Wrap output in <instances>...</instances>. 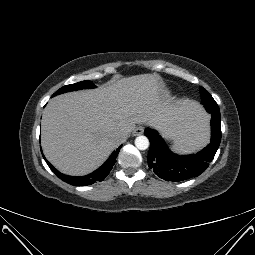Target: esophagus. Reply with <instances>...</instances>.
<instances>
[{"label":"esophagus","instance_id":"esophagus-1","mask_svg":"<svg viewBox=\"0 0 255 255\" xmlns=\"http://www.w3.org/2000/svg\"><path fill=\"white\" fill-rule=\"evenodd\" d=\"M144 132V128L142 126H137L134 130H133V135L137 136V135H141Z\"/></svg>","mask_w":255,"mask_h":255}]
</instances>
